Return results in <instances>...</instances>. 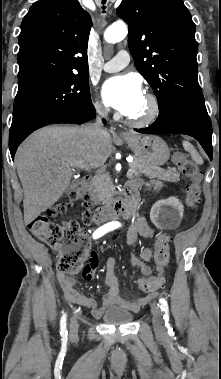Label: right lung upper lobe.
<instances>
[{"label":"right lung upper lobe","instance_id":"right-lung-upper-lobe-1","mask_svg":"<svg viewBox=\"0 0 221 379\" xmlns=\"http://www.w3.org/2000/svg\"><path fill=\"white\" fill-rule=\"evenodd\" d=\"M91 19L78 0H39L21 24L19 84L65 73L88 72Z\"/></svg>","mask_w":221,"mask_h":379}]
</instances>
